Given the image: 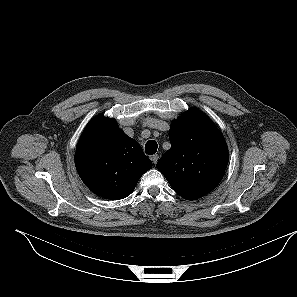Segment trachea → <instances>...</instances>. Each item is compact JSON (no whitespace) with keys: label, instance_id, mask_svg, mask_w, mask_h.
<instances>
[{"label":"trachea","instance_id":"1","mask_svg":"<svg viewBox=\"0 0 297 297\" xmlns=\"http://www.w3.org/2000/svg\"><path fill=\"white\" fill-rule=\"evenodd\" d=\"M157 148H158L157 142L154 140H149L145 144V151L149 155L155 154L157 152Z\"/></svg>","mask_w":297,"mask_h":297}]
</instances>
